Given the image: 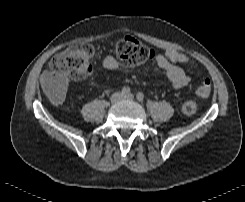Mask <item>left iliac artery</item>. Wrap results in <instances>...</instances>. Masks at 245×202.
<instances>
[{
    "mask_svg": "<svg viewBox=\"0 0 245 202\" xmlns=\"http://www.w3.org/2000/svg\"><path fill=\"white\" fill-rule=\"evenodd\" d=\"M137 99L139 101H143L144 100V94L142 92H138L136 95Z\"/></svg>",
    "mask_w": 245,
    "mask_h": 202,
    "instance_id": "1",
    "label": "left iliac artery"
}]
</instances>
